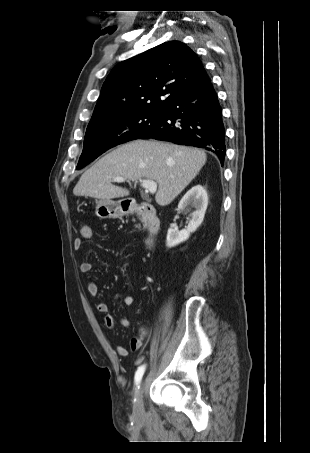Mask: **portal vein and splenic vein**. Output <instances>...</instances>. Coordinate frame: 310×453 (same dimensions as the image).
I'll return each mask as SVG.
<instances>
[{
  "label": "portal vein and splenic vein",
  "instance_id": "portal-vein-and-splenic-vein-1",
  "mask_svg": "<svg viewBox=\"0 0 310 453\" xmlns=\"http://www.w3.org/2000/svg\"><path fill=\"white\" fill-rule=\"evenodd\" d=\"M112 181L121 183V182L125 181V178L120 177V176L113 177ZM140 183H141V186L144 189H146L148 192H150L151 194H154L157 190V183L153 180L143 179V180H140Z\"/></svg>",
  "mask_w": 310,
  "mask_h": 453
}]
</instances>
